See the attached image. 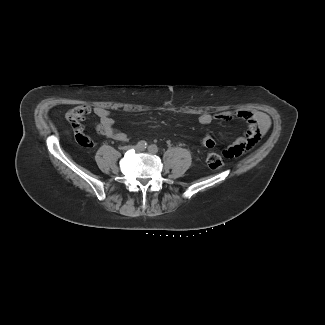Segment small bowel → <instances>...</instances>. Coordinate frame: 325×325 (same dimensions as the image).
I'll return each mask as SVG.
<instances>
[{
	"label": "small bowel",
	"instance_id": "obj_1",
	"mask_svg": "<svg viewBox=\"0 0 325 325\" xmlns=\"http://www.w3.org/2000/svg\"><path fill=\"white\" fill-rule=\"evenodd\" d=\"M91 111L98 118L96 129L101 135L120 142L127 141V135L115 128L114 119L111 117L108 109L97 106L91 110L89 106L80 105L71 109L67 114V119L72 125L76 140L80 145L87 148L93 147L94 145L93 141L85 135L84 128L81 124ZM235 116L246 121L247 129L243 136L238 137L232 144L223 149V153L227 158L237 157L252 149L261 135L264 134L271 125L270 118L265 113L248 110L237 111L235 115L228 112H221L216 115L203 113L199 116L198 121L201 125H209L213 120L229 121ZM202 145L207 149H213L217 143L215 138L207 133L202 139Z\"/></svg>",
	"mask_w": 325,
	"mask_h": 325
}]
</instances>
